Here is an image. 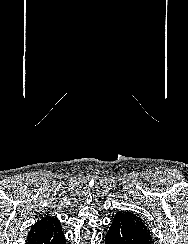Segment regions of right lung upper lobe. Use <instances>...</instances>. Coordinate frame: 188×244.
Masks as SVG:
<instances>
[{
  "label": "right lung upper lobe",
  "mask_w": 188,
  "mask_h": 244,
  "mask_svg": "<svg viewBox=\"0 0 188 244\" xmlns=\"http://www.w3.org/2000/svg\"><path fill=\"white\" fill-rule=\"evenodd\" d=\"M60 222L56 217L46 216L41 220H38L30 229L27 239L32 238L41 232L51 229L56 226H60Z\"/></svg>",
  "instance_id": "right-lung-upper-lobe-1"
}]
</instances>
